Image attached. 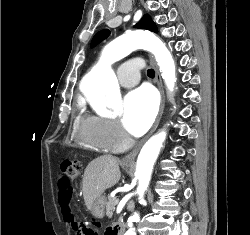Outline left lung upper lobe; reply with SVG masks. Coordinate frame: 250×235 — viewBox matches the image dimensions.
<instances>
[{
    "instance_id": "obj_1",
    "label": "left lung upper lobe",
    "mask_w": 250,
    "mask_h": 235,
    "mask_svg": "<svg viewBox=\"0 0 250 235\" xmlns=\"http://www.w3.org/2000/svg\"><path fill=\"white\" fill-rule=\"evenodd\" d=\"M135 27L139 29H147L150 31L157 32L156 25L152 21L149 15H144L142 19L135 25ZM109 34H110L109 30H102L98 32L92 40V46H95L102 40L106 39L109 36Z\"/></svg>"
}]
</instances>
